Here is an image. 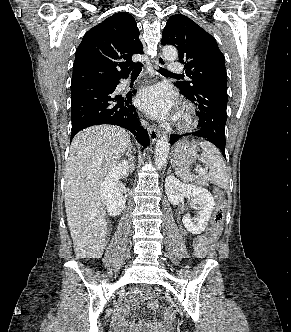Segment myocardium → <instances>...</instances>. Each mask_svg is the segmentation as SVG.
<instances>
[{"mask_svg":"<svg viewBox=\"0 0 291 332\" xmlns=\"http://www.w3.org/2000/svg\"><path fill=\"white\" fill-rule=\"evenodd\" d=\"M176 127L180 131H190L197 124L195 109L190 104H184L176 116Z\"/></svg>","mask_w":291,"mask_h":332,"instance_id":"obj_1","label":"myocardium"}]
</instances>
